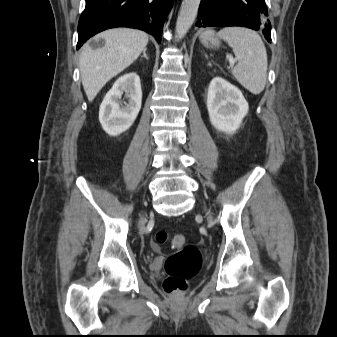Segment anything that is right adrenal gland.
Here are the masks:
<instances>
[{
  "label": "right adrenal gland",
  "mask_w": 337,
  "mask_h": 337,
  "mask_svg": "<svg viewBox=\"0 0 337 337\" xmlns=\"http://www.w3.org/2000/svg\"><path fill=\"white\" fill-rule=\"evenodd\" d=\"M142 57L146 58L147 60L149 59L148 56H147V54H146V49L143 51Z\"/></svg>",
  "instance_id": "right-adrenal-gland-1"
}]
</instances>
